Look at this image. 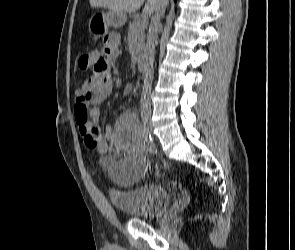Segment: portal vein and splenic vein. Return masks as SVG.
Wrapping results in <instances>:
<instances>
[{"instance_id": "portal-vein-and-splenic-vein-1", "label": "portal vein and splenic vein", "mask_w": 295, "mask_h": 250, "mask_svg": "<svg viewBox=\"0 0 295 250\" xmlns=\"http://www.w3.org/2000/svg\"><path fill=\"white\" fill-rule=\"evenodd\" d=\"M148 15H149L148 12H144V14L141 16V19H140L141 23L145 24L147 22Z\"/></svg>"}]
</instances>
